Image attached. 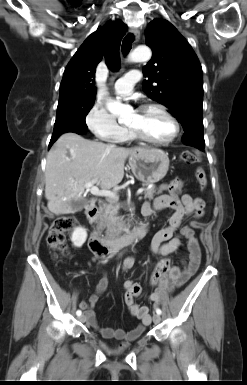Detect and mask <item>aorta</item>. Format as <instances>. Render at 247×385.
Segmentation results:
<instances>
[{"mask_svg":"<svg viewBox=\"0 0 247 385\" xmlns=\"http://www.w3.org/2000/svg\"><path fill=\"white\" fill-rule=\"evenodd\" d=\"M152 56L150 48L146 46L137 47L130 55L129 60L132 62H144L148 61ZM110 113L123 117L131 111L128 105L121 103L120 101L109 100L106 104Z\"/></svg>","mask_w":247,"mask_h":385,"instance_id":"aorta-1","label":"aorta"}]
</instances>
